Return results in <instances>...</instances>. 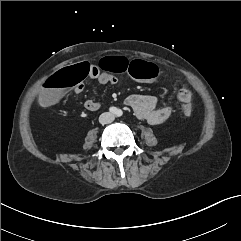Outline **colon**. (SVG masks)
Instances as JSON below:
<instances>
[{
    "mask_svg": "<svg viewBox=\"0 0 241 241\" xmlns=\"http://www.w3.org/2000/svg\"><path fill=\"white\" fill-rule=\"evenodd\" d=\"M101 66L108 71L116 73L129 72L137 78H153L157 74V68L154 64L146 60L130 62L125 57H107L101 61ZM91 73V66L86 61H79L68 65L65 69L54 74L44 85L40 94L39 101L43 106H50L56 103L63 93L76 87L83 78ZM190 94L187 91L179 92V99L183 102L182 112L185 116H191L193 107L190 104Z\"/></svg>",
    "mask_w": 241,
    "mask_h": 241,
    "instance_id": "1",
    "label": "colon"
}]
</instances>
